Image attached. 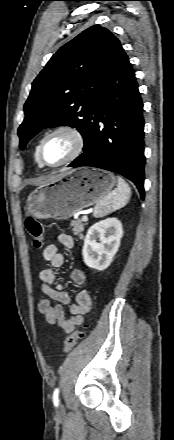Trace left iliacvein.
I'll return each instance as SVG.
<instances>
[{"label":"left iliac vein","instance_id":"4c4485c4","mask_svg":"<svg viewBox=\"0 0 174 440\" xmlns=\"http://www.w3.org/2000/svg\"><path fill=\"white\" fill-rule=\"evenodd\" d=\"M65 412V408L64 406L60 403L58 408H57V413L58 414H63Z\"/></svg>","mask_w":174,"mask_h":440}]
</instances>
